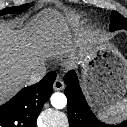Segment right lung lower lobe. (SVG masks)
Instances as JSON below:
<instances>
[{
    "mask_svg": "<svg viewBox=\"0 0 127 127\" xmlns=\"http://www.w3.org/2000/svg\"><path fill=\"white\" fill-rule=\"evenodd\" d=\"M55 79L56 73L50 72L0 106V127H36L37 117L52 94Z\"/></svg>",
    "mask_w": 127,
    "mask_h": 127,
    "instance_id": "obj_1",
    "label": "right lung lower lobe"
}]
</instances>
